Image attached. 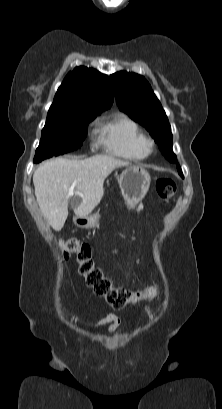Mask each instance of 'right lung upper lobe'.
I'll list each match as a JSON object with an SVG mask.
<instances>
[{"label":"right lung upper lobe","instance_id":"1","mask_svg":"<svg viewBox=\"0 0 222 409\" xmlns=\"http://www.w3.org/2000/svg\"><path fill=\"white\" fill-rule=\"evenodd\" d=\"M114 99L107 75L84 66L69 72L58 88L49 111L71 108H95L105 110Z\"/></svg>","mask_w":222,"mask_h":409}]
</instances>
